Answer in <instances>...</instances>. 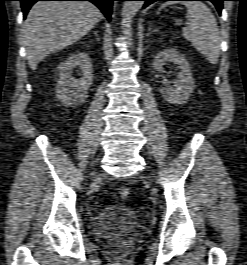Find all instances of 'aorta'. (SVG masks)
Returning <instances> with one entry per match:
<instances>
[{"label": "aorta", "instance_id": "obj_1", "mask_svg": "<svg viewBox=\"0 0 247 265\" xmlns=\"http://www.w3.org/2000/svg\"><path fill=\"white\" fill-rule=\"evenodd\" d=\"M142 7L141 1H125L122 7V21L124 23L123 33L128 44L132 45V21L135 14Z\"/></svg>", "mask_w": 247, "mask_h": 265}]
</instances>
